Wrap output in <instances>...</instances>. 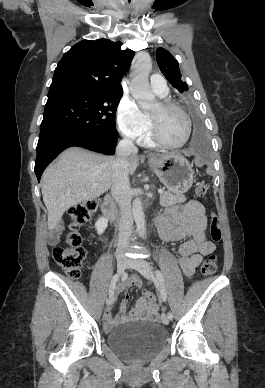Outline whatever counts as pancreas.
I'll use <instances>...</instances> for the list:
<instances>
[{"label":"pancreas","mask_w":265,"mask_h":388,"mask_svg":"<svg viewBox=\"0 0 265 388\" xmlns=\"http://www.w3.org/2000/svg\"><path fill=\"white\" fill-rule=\"evenodd\" d=\"M181 202H186L185 196L181 194H169V192H164L160 196V206L166 208V206H173V204H181Z\"/></svg>","instance_id":"pancreas-1"}]
</instances>
